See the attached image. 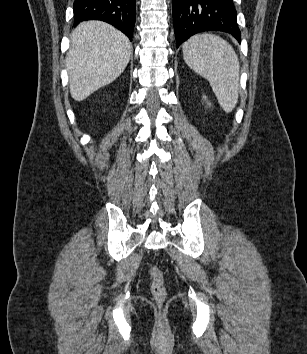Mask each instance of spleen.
<instances>
[{
	"instance_id": "obj_1",
	"label": "spleen",
	"mask_w": 307,
	"mask_h": 354,
	"mask_svg": "<svg viewBox=\"0 0 307 354\" xmlns=\"http://www.w3.org/2000/svg\"><path fill=\"white\" fill-rule=\"evenodd\" d=\"M185 63L206 78L222 109L229 113L239 93V60L232 46L213 34H198L183 44Z\"/></svg>"
}]
</instances>
